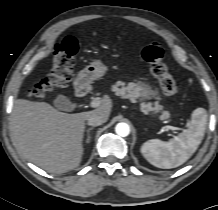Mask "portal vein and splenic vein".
Masks as SVG:
<instances>
[{"label": "portal vein and splenic vein", "instance_id": "1", "mask_svg": "<svg viewBox=\"0 0 218 210\" xmlns=\"http://www.w3.org/2000/svg\"><path fill=\"white\" fill-rule=\"evenodd\" d=\"M101 103H102V99L100 97H96L91 101L90 106L92 108H96V107L100 106ZM165 130L166 131L171 130V131L175 132V131L179 130V128L171 126V125H166Z\"/></svg>", "mask_w": 218, "mask_h": 210}]
</instances>
